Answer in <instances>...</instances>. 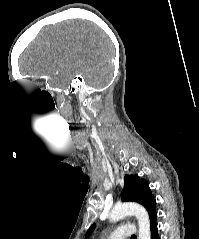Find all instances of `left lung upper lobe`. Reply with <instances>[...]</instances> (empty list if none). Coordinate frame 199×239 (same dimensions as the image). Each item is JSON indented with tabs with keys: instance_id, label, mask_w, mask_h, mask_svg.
I'll list each match as a JSON object with an SVG mask.
<instances>
[{
	"instance_id": "obj_1",
	"label": "left lung upper lobe",
	"mask_w": 199,
	"mask_h": 239,
	"mask_svg": "<svg viewBox=\"0 0 199 239\" xmlns=\"http://www.w3.org/2000/svg\"><path fill=\"white\" fill-rule=\"evenodd\" d=\"M121 199L124 202H137L143 205L151 217L156 212V200L152 195L147 180L140 179L137 175H125L124 188L122 190ZM93 224L87 234L86 239L95 228Z\"/></svg>"
}]
</instances>
